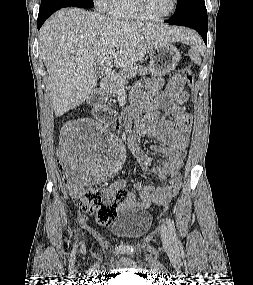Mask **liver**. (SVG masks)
I'll list each match as a JSON object with an SVG mask.
<instances>
[{"label":"liver","mask_w":253,"mask_h":285,"mask_svg":"<svg viewBox=\"0 0 253 285\" xmlns=\"http://www.w3.org/2000/svg\"><path fill=\"white\" fill-rule=\"evenodd\" d=\"M193 32L142 22H124L80 8L61 9L40 30V47L48 71L52 107L61 116L81 105L103 71L134 65L159 44L186 42ZM117 43L120 47H112Z\"/></svg>","instance_id":"liver-1"}]
</instances>
